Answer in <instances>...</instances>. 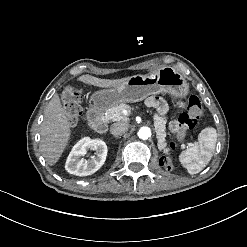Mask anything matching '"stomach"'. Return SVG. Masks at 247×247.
Returning a JSON list of instances; mask_svg holds the SVG:
<instances>
[{
	"mask_svg": "<svg viewBox=\"0 0 247 247\" xmlns=\"http://www.w3.org/2000/svg\"><path fill=\"white\" fill-rule=\"evenodd\" d=\"M159 93L184 98L189 93V84L174 68L160 67L149 75L128 77L119 87L99 90L91 96L90 101L94 109L105 111L117 104L139 102Z\"/></svg>",
	"mask_w": 247,
	"mask_h": 247,
	"instance_id": "0dacf381",
	"label": "stomach"
}]
</instances>
